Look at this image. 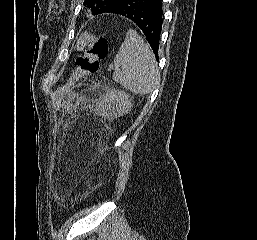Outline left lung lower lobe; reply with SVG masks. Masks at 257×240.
I'll return each mask as SVG.
<instances>
[{"label": "left lung lower lobe", "mask_w": 257, "mask_h": 240, "mask_svg": "<svg viewBox=\"0 0 257 240\" xmlns=\"http://www.w3.org/2000/svg\"><path fill=\"white\" fill-rule=\"evenodd\" d=\"M104 13H115L134 22L144 33L158 61L163 23L161 0H121Z\"/></svg>", "instance_id": "0a47b994"}]
</instances>
